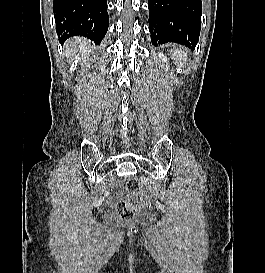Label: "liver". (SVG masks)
Masks as SVG:
<instances>
[{"instance_id":"obj_1","label":"liver","mask_w":265,"mask_h":273,"mask_svg":"<svg viewBox=\"0 0 265 273\" xmlns=\"http://www.w3.org/2000/svg\"><path fill=\"white\" fill-rule=\"evenodd\" d=\"M91 52V42L84 38H75L65 43V53L69 62L74 59L88 57Z\"/></svg>"}]
</instances>
